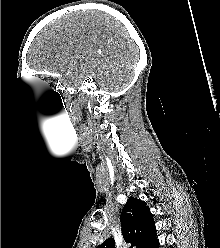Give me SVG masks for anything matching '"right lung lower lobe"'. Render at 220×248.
<instances>
[{
    "label": "right lung lower lobe",
    "mask_w": 220,
    "mask_h": 248,
    "mask_svg": "<svg viewBox=\"0 0 220 248\" xmlns=\"http://www.w3.org/2000/svg\"><path fill=\"white\" fill-rule=\"evenodd\" d=\"M159 246V241L157 240L150 248H158Z\"/></svg>",
    "instance_id": "98d812e1"
}]
</instances>
